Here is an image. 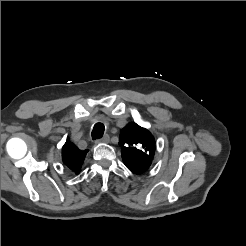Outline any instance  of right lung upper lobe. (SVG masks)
<instances>
[{
  "mask_svg": "<svg viewBox=\"0 0 246 246\" xmlns=\"http://www.w3.org/2000/svg\"><path fill=\"white\" fill-rule=\"evenodd\" d=\"M87 152L88 150H79L72 142L67 141L62 148L63 162L75 174H78Z\"/></svg>",
  "mask_w": 246,
  "mask_h": 246,
  "instance_id": "obj_1",
  "label": "right lung upper lobe"
}]
</instances>
